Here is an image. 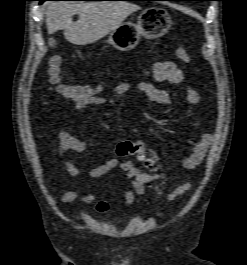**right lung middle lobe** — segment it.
<instances>
[{"instance_id": "1", "label": "right lung middle lobe", "mask_w": 247, "mask_h": 265, "mask_svg": "<svg viewBox=\"0 0 247 265\" xmlns=\"http://www.w3.org/2000/svg\"><path fill=\"white\" fill-rule=\"evenodd\" d=\"M40 1L44 2V1H46V0H40ZM97 1H100V0H97Z\"/></svg>"}]
</instances>
